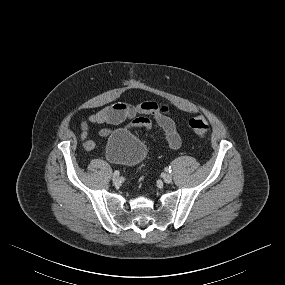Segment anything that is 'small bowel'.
Segmentation results:
<instances>
[{"label": "small bowel", "instance_id": "obj_1", "mask_svg": "<svg viewBox=\"0 0 285 285\" xmlns=\"http://www.w3.org/2000/svg\"><path fill=\"white\" fill-rule=\"evenodd\" d=\"M129 121L131 129L142 128L147 131L160 130L164 133L168 146L176 150L181 145V138L176 130L169 109L163 103L146 101L135 105L128 103H117L105 107L90 115L81 123L80 139L87 151L95 149V142L88 137L91 124H120Z\"/></svg>", "mask_w": 285, "mask_h": 285}]
</instances>
